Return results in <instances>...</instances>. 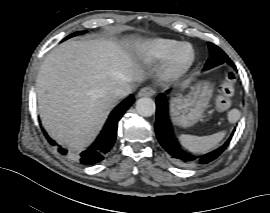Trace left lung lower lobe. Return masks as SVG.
<instances>
[{
    "label": "left lung lower lobe",
    "mask_w": 270,
    "mask_h": 213,
    "mask_svg": "<svg viewBox=\"0 0 270 213\" xmlns=\"http://www.w3.org/2000/svg\"><path fill=\"white\" fill-rule=\"evenodd\" d=\"M232 67L236 69L235 65ZM167 93H169V91ZM156 107L155 130L158 141L167 152L170 160L181 167H191L213 161L226 149L235 131L234 129L229 139L216 150L204 155L195 156L181 149L174 138L169 121L168 102L165 94H161L157 97Z\"/></svg>",
    "instance_id": "left-lung-lower-lobe-1"
}]
</instances>
